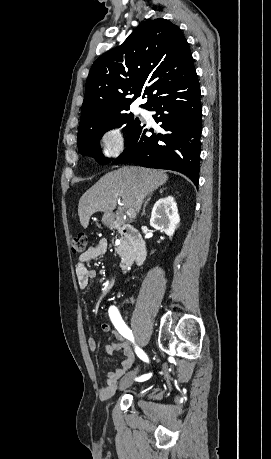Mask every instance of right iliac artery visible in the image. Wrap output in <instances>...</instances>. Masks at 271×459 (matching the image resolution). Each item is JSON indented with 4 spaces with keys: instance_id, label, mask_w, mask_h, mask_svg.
Returning <instances> with one entry per match:
<instances>
[{
    "instance_id": "82829eb1",
    "label": "right iliac artery",
    "mask_w": 271,
    "mask_h": 459,
    "mask_svg": "<svg viewBox=\"0 0 271 459\" xmlns=\"http://www.w3.org/2000/svg\"><path fill=\"white\" fill-rule=\"evenodd\" d=\"M109 316L110 319L115 326V328L118 330V332L125 337L126 339L132 341L134 343V337L132 334V331L128 326L125 324V322L122 320V317L118 311V309L115 306H111L109 308ZM135 352L137 356L143 360L144 362H149V359L147 355L144 353L142 349H140L138 346H135ZM150 378H153V373H142L139 376V381L140 382H150Z\"/></svg>"
}]
</instances>
